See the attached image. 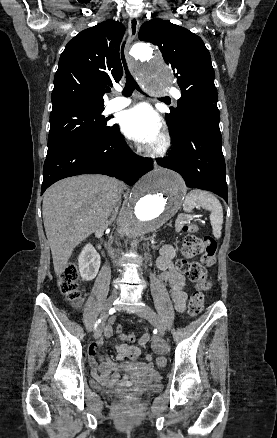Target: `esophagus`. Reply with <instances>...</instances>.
Masks as SVG:
<instances>
[{
	"label": "esophagus",
	"mask_w": 277,
	"mask_h": 438,
	"mask_svg": "<svg viewBox=\"0 0 277 438\" xmlns=\"http://www.w3.org/2000/svg\"><path fill=\"white\" fill-rule=\"evenodd\" d=\"M138 24H139V21H138V18L136 16H131L129 18L128 26H129L130 36H129V39H128V42L126 45V49H125V57L129 62L132 61L129 50H130L131 43L133 42V40L137 36ZM139 95L143 96L140 93H139Z\"/></svg>",
	"instance_id": "esophagus-1"
}]
</instances>
